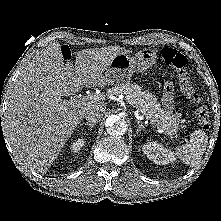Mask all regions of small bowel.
Wrapping results in <instances>:
<instances>
[{
    "mask_svg": "<svg viewBox=\"0 0 221 221\" xmlns=\"http://www.w3.org/2000/svg\"><path fill=\"white\" fill-rule=\"evenodd\" d=\"M162 102H163V105L166 108L172 107V105H173V93H172V91L164 92Z\"/></svg>",
    "mask_w": 221,
    "mask_h": 221,
    "instance_id": "obj_1",
    "label": "small bowel"
}]
</instances>
